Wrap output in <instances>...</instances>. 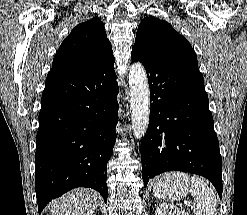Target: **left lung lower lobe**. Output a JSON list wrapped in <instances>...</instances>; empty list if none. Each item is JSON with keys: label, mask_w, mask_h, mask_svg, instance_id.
Segmentation results:
<instances>
[{"label": "left lung lower lobe", "mask_w": 247, "mask_h": 215, "mask_svg": "<svg viewBox=\"0 0 247 215\" xmlns=\"http://www.w3.org/2000/svg\"><path fill=\"white\" fill-rule=\"evenodd\" d=\"M131 60L144 64L150 87V122L141 142L142 179L166 171L204 176L222 197V158L202 74L168 65L138 50Z\"/></svg>", "instance_id": "left-lung-lower-lobe-1"}]
</instances>
